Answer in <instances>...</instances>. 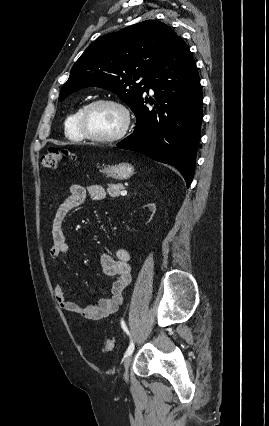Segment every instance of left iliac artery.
I'll return each instance as SVG.
<instances>
[{"label": "left iliac artery", "mask_w": 269, "mask_h": 426, "mask_svg": "<svg viewBox=\"0 0 269 426\" xmlns=\"http://www.w3.org/2000/svg\"><path fill=\"white\" fill-rule=\"evenodd\" d=\"M121 326H122L123 330L130 336V333H129L127 326H126L123 319L121 320ZM133 350H134V343H133V340L131 339L130 345H129L128 349L126 350L124 357H127L128 355H130L133 352Z\"/></svg>", "instance_id": "1"}]
</instances>
